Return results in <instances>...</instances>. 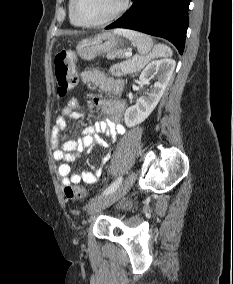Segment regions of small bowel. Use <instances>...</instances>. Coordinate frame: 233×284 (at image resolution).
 Wrapping results in <instances>:
<instances>
[{
  "label": "small bowel",
  "instance_id": "small-bowel-1",
  "mask_svg": "<svg viewBox=\"0 0 233 284\" xmlns=\"http://www.w3.org/2000/svg\"><path fill=\"white\" fill-rule=\"evenodd\" d=\"M81 82L85 85L96 86L102 91L109 93L113 98L92 97V103L99 106L107 118L94 125L85 127L81 136L76 140H64L63 133L66 128V117L79 119L82 116V113L78 110V100L75 97L70 98L62 108L61 113L56 117L55 125L51 132V146L54 159L61 162L57 172L64 186H75L81 182L95 183L101 174V167L93 172H72L70 162L74 161L78 155L96 143L107 147V143L99 138L100 134L114 138L125 133V127L120 122L124 104L114 98L121 93L123 83L106 77L98 70L83 71L81 73ZM109 158L110 153L108 152L104 156L101 165L106 164Z\"/></svg>",
  "mask_w": 233,
  "mask_h": 284
}]
</instances>
